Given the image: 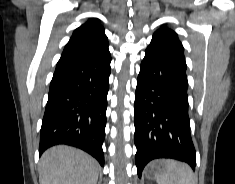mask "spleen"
<instances>
[{
  "label": "spleen",
  "instance_id": "3e777b00",
  "mask_svg": "<svg viewBox=\"0 0 235 184\" xmlns=\"http://www.w3.org/2000/svg\"><path fill=\"white\" fill-rule=\"evenodd\" d=\"M155 180L157 184H197L192 168L176 160H162Z\"/></svg>",
  "mask_w": 235,
  "mask_h": 184
}]
</instances>
